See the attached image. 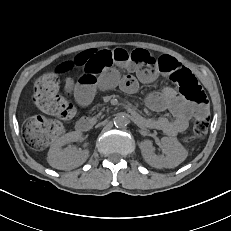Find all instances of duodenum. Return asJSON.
Wrapping results in <instances>:
<instances>
[{"label":"duodenum","mask_w":231,"mask_h":231,"mask_svg":"<svg viewBox=\"0 0 231 231\" xmlns=\"http://www.w3.org/2000/svg\"><path fill=\"white\" fill-rule=\"evenodd\" d=\"M134 114V113H133ZM135 115V114H134ZM92 126L91 120L88 118H82L78 121L77 125H76V129L77 131H79L80 133H84L90 130Z\"/></svg>","instance_id":"obj_1"}]
</instances>
